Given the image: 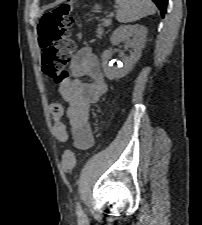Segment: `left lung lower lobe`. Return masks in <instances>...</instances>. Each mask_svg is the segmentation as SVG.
Masks as SVG:
<instances>
[{"instance_id": "obj_1", "label": "left lung lower lobe", "mask_w": 202, "mask_h": 225, "mask_svg": "<svg viewBox=\"0 0 202 225\" xmlns=\"http://www.w3.org/2000/svg\"><path fill=\"white\" fill-rule=\"evenodd\" d=\"M152 1H153V2L157 5V7L159 8L162 17H164L165 12H166V7H167L168 0H152Z\"/></svg>"}]
</instances>
